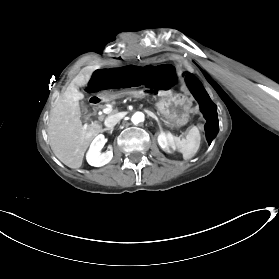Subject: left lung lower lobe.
Wrapping results in <instances>:
<instances>
[{"mask_svg": "<svg viewBox=\"0 0 279 279\" xmlns=\"http://www.w3.org/2000/svg\"><path fill=\"white\" fill-rule=\"evenodd\" d=\"M186 81L190 91L198 100L200 109L206 119V124L204 126L206 139L208 144H211L212 139L217 134L219 124L216 105L211 101L202 84L193 74L188 73L186 75Z\"/></svg>", "mask_w": 279, "mask_h": 279, "instance_id": "left-lung-lower-lobe-1", "label": "left lung lower lobe"}]
</instances>
